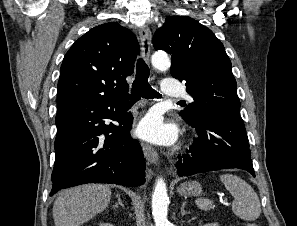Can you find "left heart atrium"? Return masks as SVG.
Returning <instances> with one entry per match:
<instances>
[{"instance_id": "left-heart-atrium-1", "label": "left heart atrium", "mask_w": 297, "mask_h": 226, "mask_svg": "<svg viewBox=\"0 0 297 226\" xmlns=\"http://www.w3.org/2000/svg\"><path fill=\"white\" fill-rule=\"evenodd\" d=\"M137 133L144 139L161 144H170L176 137L175 128L165 125L156 114L147 115L140 123Z\"/></svg>"}]
</instances>
